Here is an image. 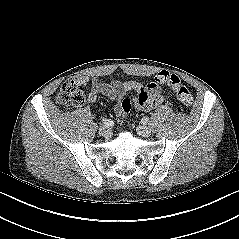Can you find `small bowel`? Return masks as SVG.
Returning <instances> with one entry per match:
<instances>
[{"label": "small bowel", "instance_id": "obj_1", "mask_svg": "<svg viewBox=\"0 0 239 239\" xmlns=\"http://www.w3.org/2000/svg\"><path fill=\"white\" fill-rule=\"evenodd\" d=\"M75 81L80 85L91 84L92 91L88 95V100L91 103L96 101L98 94H103L110 100L118 101L123 94L132 91L137 92L134 105L138 110H152L164 101L161 87L154 82L142 84L134 80L126 82L118 80L104 81L98 78H90L86 75L77 76ZM114 110L116 113L119 112V105H116Z\"/></svg>", "mask_w": 239, "mask_h": 239}]
</instances>
